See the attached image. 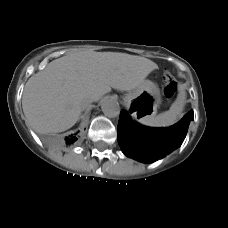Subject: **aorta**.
Returning <instances> with one entry per match:
<instances>
[{"mask_svg":"<svg viewBox=\"0 0 228 228\" xmlns=\"http://www.w3.org/2000/svg\"><path fill=\"white\" fill-rule=\"evenodd\" d=\"M101 109L108 117H117L120 114L119 103L112 98H105L101 103Z\"/></svg>","mask_w":228,"mask_h":228,"instance_id":"obj_1","label":"aorta"}]
</instances>
